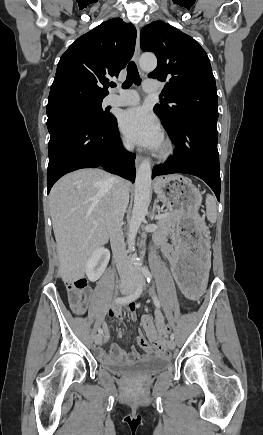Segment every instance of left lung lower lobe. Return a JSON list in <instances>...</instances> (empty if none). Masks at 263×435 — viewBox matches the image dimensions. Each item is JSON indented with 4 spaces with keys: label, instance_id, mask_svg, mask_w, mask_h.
Masks as SVG:
<instances>
[{
    "label": "left lung lower lobe",
    "instance_id": "left-lung-lower-lobe-1",
    "mask_svg": "<svg viewBox=\"0 0 263 435\" xmlns=\"http://www.w3.org/2000/svg\"><path fill=\"white\" fill-rule=\"evenodd\" d=\"M216 120L191 118L166 129L176 150L164 164L156 167L152 178L172 173H187L203 179L220 201V167Z\"/></svg>",
    "mask_w": 263,
    "mask_h": 435
}]
</instances>
